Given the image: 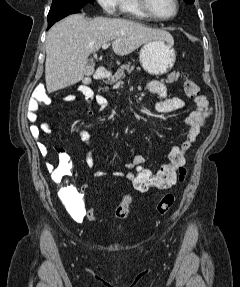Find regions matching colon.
<instances>
[{"instance_id":"5ec220e1","label":"colon","mask_w":240,"mask_h":287,"mask_svg":"<svg viewBox=\"0 0 240 287\" xmlns=\"http://www.w3.org/2000/svg\"><path fill=\"white\" fill-rule=\"evenodd\" d=\"M184 91L190 98L200 96L199 86L189 78L184 79ZM34 99L38 102L47 103L49 98L42 89L37 90ZM187 150H183L181 146L174 147L168 156V161L162 164L158 169L153 170L147 168L145 164L136 166L131 172L130 182L139 192H147L150 189H167L177 183L185 180L187 169L185 167V154ZM71 174V166L68 161L59 159L57 165L52 171V177L56 182L67 181ZM80 189H84L82 185ZM131 196L129 193L123 195L122 200L115 208V217L124 219L129 214ZM175 203V195L168 192L160 199L157 205V213L159 215L167 214ZM86 218L89 221L96 219L95 210L92 206L86 209Z\"/></svg>"}]
</instances>
